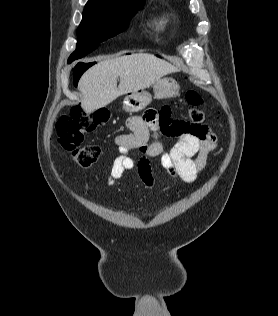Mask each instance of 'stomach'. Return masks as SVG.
<instances>
[{
	"mask_svg": "<svg viewBox=\"0 0 278 316\" xmlns=\"http://www.w3.org/2000/svg\"><path fill=\"white\" fill-rule=\"evenodd\" d=\"M154 97L156 99H167L175 97L179 92V84L172 78H161L153 85ZM152 101V96L147 91L131 93L123 102L126 112H138L147 107Z\"/></svg>",
	"mask_w": 278,
	"mask_h": 316,
	"instance_id": "obj_1",
	"label": "stomach"
}]
</instances>
